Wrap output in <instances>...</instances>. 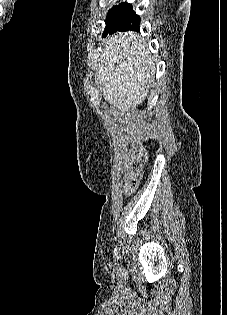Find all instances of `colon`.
<instances>
[{
	"instance_id": "5ec220e1",
	"label": "colon",
	"mask_w": 227,
	"mask_h": 315,
	"mask_svg": "<svg viewBox=\"0 0 227 315\" xmlns=\"http://www.w3.org/2000/svg\"><path fill=\"white\" fill-rule=\"evenodd\" d=\"M147 161V156L145 152H140L136 158V164L131 169L128 175V181L131 185L136 186L139 184L142 177V167Z\"/></svg>"
}]
</instances>
